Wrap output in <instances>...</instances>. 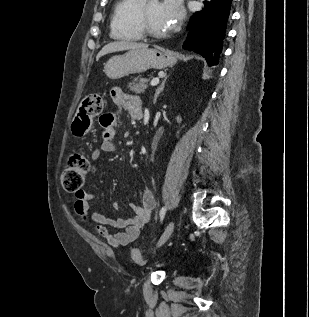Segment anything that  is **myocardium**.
Masks as SVG:
<instances>
[{
  "label": "myocardium",
  "mask_w": 309,
  "mask_h": 317,
  "mask_svg": "<svg viewBox=\"0 0 309 317\" xmlns=\"http://www.w3.org/2000/svg\"><path fill=\"white\" fill-rule=\"evenodd\" d=\"M139 26L143 32L144 35L152 37V38H164L168 36V32L165 33H159L154 30H152L147 22L146 14L144 11V7L141 6L139 10V16H138Z\"/></svg>",
  "instance_id": "myocardium-1"
}]
</instances>
